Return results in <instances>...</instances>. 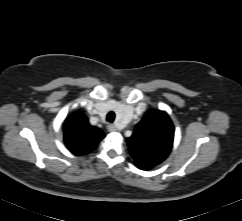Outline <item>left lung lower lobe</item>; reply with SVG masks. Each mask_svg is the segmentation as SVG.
<instances>
[{"label": "left lung lower lobe", "mask_w": 242, "mask_h": 221, "mask_svg": "<svg viewBox=\"0 0 242 221\" xmlns=\"http://www.w3.org/2000/svg\"><path fill=\"white\" fill-rule=\"evenodd\" d=\"M140 169L147 170V169H151V168H140Z\"/></svg>", "instance_id": "0a47b994"}]
</instances>
